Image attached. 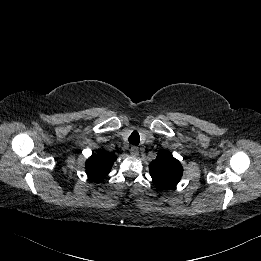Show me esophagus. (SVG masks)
I'll return each mask as SVG.
<instances>
[{
  "label": "esophagus",
  "instance_id": "esophagus-1",
  "mask_svg": "<svg viewBox=\"0 0 261 261\" xmlns=\"http://www.w3.org/2000/svg\"><path fill=\"white\" fill-rule=\"evenodd\" d=\"M130 154L133 157H137L139 155V149L136 146H132L130 149Z\"/></svg>",
  "mask_w": 261,
  "mask_h": 261
}]
</instances>
